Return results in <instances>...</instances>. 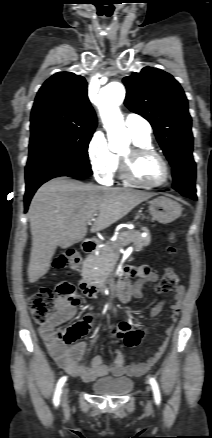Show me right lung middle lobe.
Instances as JSON below:
<instances>
[{
  "label": "right lung middle lobe",
  "instance_id": "right-lung-middle-lobe-1",
  "mask_svg": "<svg viewBox=\"0 0 212 438\" xmlns=\"http://www.w3.org/2000/svg\"><path fill=\"white\" fill-rule=\"evenodd\" d=\"M93 132L64 128H41L31 131L26 167L73 165L90 168L87 150Z\"/></svg>",
  "mask_w": 212,
  "mask_h": 438
}]
</instances>
